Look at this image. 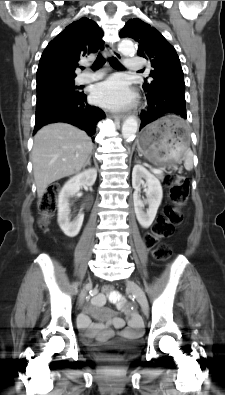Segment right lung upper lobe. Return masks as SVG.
<instances>
[{"mask_svg": "<svg viewBox=\"0 0 225 395\" xmlns=\"http://www.w3.org/2000/svg\"><path fill=\"white\" fill-rule=\"evenodd\" d=\"M103 35L102 29L86 17L67 26L42 53L37 87L74 80L80 58L104 48Z\"/></svg>", "mask_w": 225, "mask_h": 395, "instance_id": "obj_1", "label": "right lung upper lobe"}]
</instances>
